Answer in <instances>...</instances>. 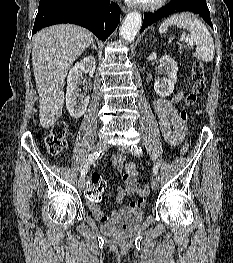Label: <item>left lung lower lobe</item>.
Segmentation results:
<instances>
[{"instance_id":"left-lung-lower-lobe-1","label":"left lung lower lobe","mask_w":233,"mask_h":263,"mask_svg":"<svg viewBox=\"0 0 233 263\" xmlns=\"http://www.w3.org/2000/svg\"><path fill=\"white\" fill-rule=\"evenodd\" d=\"M183 11H190L200 15L210 27H213L206 0H171L165 7L156 11L154 14L147 13L144 15L141 31L162 17Z\"/></svg>"}]
</instances>
